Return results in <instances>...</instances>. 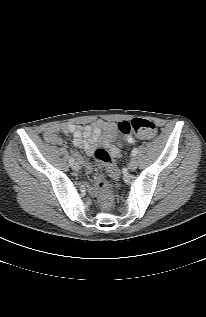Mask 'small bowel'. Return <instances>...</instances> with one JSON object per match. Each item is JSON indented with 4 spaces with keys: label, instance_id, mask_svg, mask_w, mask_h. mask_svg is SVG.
<instances>
[{
    "label": "small bowel",
    "instance_id": "obj_1",
    "mask_svg": "<svg viewBox=\"0 0 206 317\" xmlns=\"http://www.w3.org/2000/svg\"><path fill=\"white\" fill-rule=\"evenodd\" d=\"M59 133L72 135L74 145L83 149L90 156H93L99 147L107 148L113 157H119L121 154V146L113 138V124L107 121L98 120L87 125H52L45 130L43 136L51 144L64 145L66 142ZM126 141L133 143L135 139L128 136ZM74 155L84 164L86 171L91 172V164L85 161L79 153L75 152ZM89 193L95 197L98 193L96 186L90 187Z\"/></svg>",
    "mask_w": 206,
    "mask_h": 317
}]
</instances>
